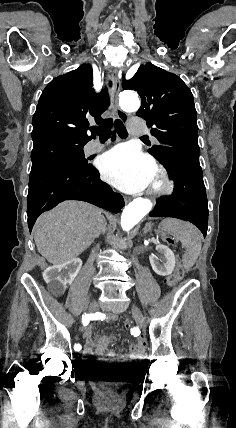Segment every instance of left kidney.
Listing matches in <instances>:
<instances>
[{
    "label": "left kidney",
    "instance_id": "5707ae66",
    "mask_svg": "<svg viewBox=\"0 0 236 428\" xmlns=\"http://www.w3.org/2000/svg\"><path fill=\"white\" fill-rule=\"evenodd\" d=\"M159 258L155 254L149 256L150 264L158 276H170L175 268V256L168 246H156Z\"/></svg>",
    "mask_w": 236,
    "mask_h": 428
}]
</instances>
